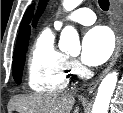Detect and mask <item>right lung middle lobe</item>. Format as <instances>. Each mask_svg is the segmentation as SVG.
Wrapping results in <instances>:
<instances>
[{"label":"right lung middle lobe","mask_w":123,"mask_h":113,"mask_svg":"<svg viewBox=\"0 0 123 113\" xmlns=\"http://www.w3.org/2000/svg\"><path fill=\"white\" fill-rule=\"evenodd\" d=\"M27 46L28 43H25L22 46L18 47L16 50H14L12 74L17 84H20L22 80V72L25 62V54L27 51Z\"/></svg>","instance_id":"obj_1"}]
</instances>
